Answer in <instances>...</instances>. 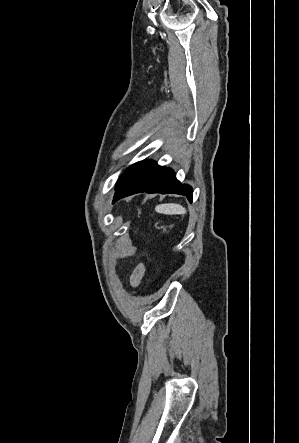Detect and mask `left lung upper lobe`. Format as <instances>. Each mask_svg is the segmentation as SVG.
<instances>
[{
	"label": "left lung upper lobe",
	"instance_id": "1",
	"mask_svg": "<svg viewBox=\"0 0 299 443\" xmlns=\"http://www.w3.org/2000/svg\"><path fill=\"white\" fill-rule=\"evenodd\" d=\"M137 163H135L134 165H132V166H130L126 171H125V173L124 174H122L121 175V177L119 178V180H118V183L120 182V180L136 165ZM117 183V184H118Z\"/></svg>",
	"mask_w": 299,
	"mask_h": 443
}]
</instances>
